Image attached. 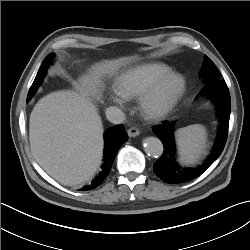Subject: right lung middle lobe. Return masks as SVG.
I'll return each mask as SVG.
<instances>
[{"label": "right lung middle lobe", "mask_w": 250, "mask_h": 250, "mask_svg": "<svg viewBox=\"0 0 250 250\" xmlns=\"http://www.w3.org/2000/svg\"><path fill=\"white\" fill-rule=\"evenodd\" d=\"M51 57H52V54L48 55L44 59L42 65H41V67H40V69L38 71V74H37V76H36V78H35L32 86H31V88L29 90V93H28V96H27V101L33 96V94L37 90L38 86L40 85L43 77L45 76V74H46V67L51 62Z\"/></svg>", "instance_id": "right-lung-middle-lobe-1"}]
</instances>
